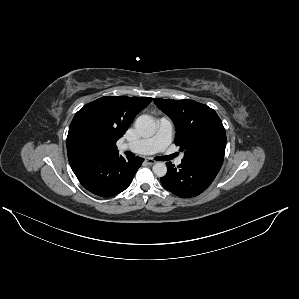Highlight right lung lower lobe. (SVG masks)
Segmentation results:
<instances>
[{"label": "right lung lower lobe", "mask_w": 299, "mask_h": 299, "mask_svg": "<svg viewBox=\"0 0 299 299\" xmlns=\"http://www.w3.org/2000/svg\"><path fill=\"white\" fill-rule=\"evenodd\" d=\"M143 158L125 160L119 155L98 156L71 165L79 182L91 193L111 197L132 182Z\"/></svg>", "instance_id": "right-lung-lower-lobe-1"}]
</instances>
